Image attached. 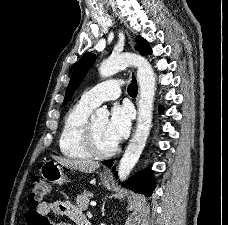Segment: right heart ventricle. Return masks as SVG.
Segmentation results:
<instances>
[{"instance_id":"obj_1","label":"right heart ventricle","mask_w":228,"mask_h":225,"mask_svg":"<svg viewBox=\"0 0 228 225\" xmlns=\"http://www.w3.org/2000/svg\"><path fill=\"white\" fill-rule=\"evenodd\" d=\"M94 108L80 99L66 113L59 137V150L63 156L79 159L94 156L84 140L86 124Z\"/></svg>"}]
</instances>
